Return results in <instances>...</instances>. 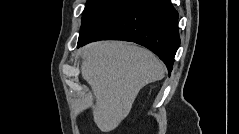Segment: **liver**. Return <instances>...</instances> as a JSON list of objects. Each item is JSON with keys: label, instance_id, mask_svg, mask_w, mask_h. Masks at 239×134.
Returning <instances> with one entry per match:
<instances>
[{"label": "liver", "instance_id": "obj_1", "mask_svg": "<svg viewBox=\"0 0 239 134\" xmlns=\"http://www.w3.org/2000/svg\"><path fill=\"white\" fill-rule=\"evenodd\" d=\"M163 63L149 50L121 41L92 43L82 49L81 74L96 103L94 122L110 132L129 114L139 91L164 77Z\"/></svg>", "mask_w": 239, "mask_h": 134}]
</instances>
